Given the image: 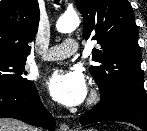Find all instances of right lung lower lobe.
Returning <instances> with one entry per match:
<instances>
[{
  "mask_svg": "<svg viewBox=\"0 0 147 131\" xmlns=\"http://www.w3.org/2000/svg\"><path fill=\"white\" fill-rule=\"evenodd\" d=\"M0 117L55 129V120L44 108L34 84L20 89L0 87Z\"/></svg>",
  "mask_w": 147,
  "mask_h": 131,
  "instance_id": "98d812e1",
  "label": "right lung lower lobe"
}]
</instances>
